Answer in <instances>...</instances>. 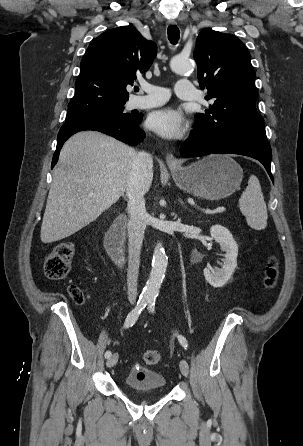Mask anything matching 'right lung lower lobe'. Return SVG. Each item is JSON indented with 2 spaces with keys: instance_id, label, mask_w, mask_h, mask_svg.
I'll list each match as a JSON object with an SVG mask.
<instances>
[{
  "instance_id": "obj_1",
  "label": "right lung lower lobe",
  "mask_w": 303,
  "mask_h": 446,
  "mask_svg": "<svg viewBox=\"0 0 303 446\" xmlns=\"http://www.w3.org/2000/svg\"><path fill=\"white\" fill-rule=\"evenodd\" d=\"M143 115L139 114L134 120H126L105 115H85L76 117L62 125L57 140V148L52 160V168L58 161L60 149L64 142L74 133L83 130L99 131L115 137L116 139L135 146L146 137L145 132L139 128Z\"/></svg>"
}]
</instances>
